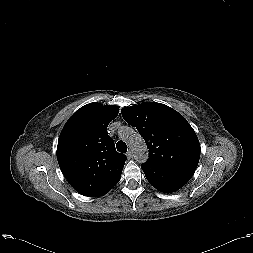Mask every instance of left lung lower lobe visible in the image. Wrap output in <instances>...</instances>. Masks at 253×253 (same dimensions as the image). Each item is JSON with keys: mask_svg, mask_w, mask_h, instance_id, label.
Returning <instances> with one entry per match:
<instances>
[{"mask_svg": "<svg viewBox=\"0 0 253 253\" xmlns=\"http://www.w3.org/2000/svg\"><path fill=\"white\" fill-rule=\"evenodd\" d=\"M148 182L157 190L172 193L183 187L195 170L174 166L141 165Z\"/></svg>", "mask_w": 253, "mask_h": 253, "instance_id": "0a47b994", "label": "left lung lower lobe"}]
</instances>
